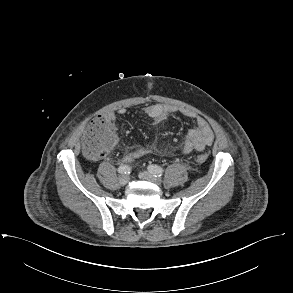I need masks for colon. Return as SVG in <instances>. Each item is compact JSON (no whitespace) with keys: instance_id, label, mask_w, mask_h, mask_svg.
Listing matches in <instances>:
<instances>
[{"instance_id":"colon-1","label":"colon","mask_w":293,"mask_h":293,"mask_svg":"<svg viewBox=\"0 0 293 293\" xmlns=\"http://www.w3.org/2000/svg\"><path fill=\"white\" fill-rule=\"evenodd\" d=\"M116 144L115 127L103 117H94L87 128L83 140L84 153L92 159L104 156ZM208 153L202 152L196 160L200 163L207 161Z\"/></svg>"}]
</instances>
